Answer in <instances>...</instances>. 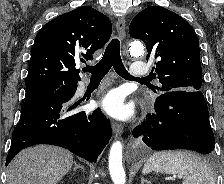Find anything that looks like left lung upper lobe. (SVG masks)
Segmentation results:
<instances>
[{"label": "left lung upper lobe", "mask_w": 224, "mask_h": 184, "mask_svg": "<svg viewBox=\"0 0 224 184\" xmlns=\"http://www.w3.org/2000/svg\"><path fill=\"white\" fill-rule=\"evenodd\" d=\"M129 32L147 46L146 58L157 60L153 75L162 84L157 89L200 91L199 39L187 21L168 9L151 6L134 17Z\"/></svg>", "instance_id": "obj_1"}]
</instances>
